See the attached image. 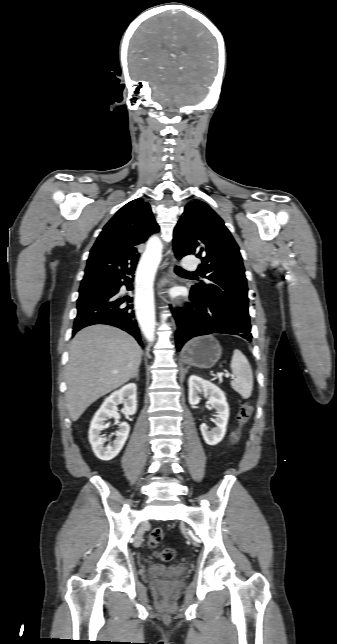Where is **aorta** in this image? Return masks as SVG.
<instances>
[{
    "mask_svg": "<svg viewBox=\"0 0 337 644\" xmlns=\"http://www.w3.org/2000/svg\"><path fill=\"white\" fill-rule=\"evenodd\" d=\"M161 260V245L148 249L142 256L135 278L136 315L145 338L155 340V309L153 299V280Z\"/></svg>",
    "mask_w": 337,
    "mask_h": 644,
    "instance_id": "obj_1",
    "label": "aorta"
}]
</instances>
